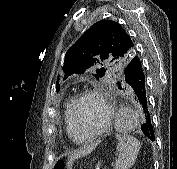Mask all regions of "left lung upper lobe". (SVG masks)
I'll list each match as a JSON object with an SVG mask.
<instances>
[{"label": "left lung upper lobe", "instance_id": "1", "mask_svg": "<svg viewBox=\"0 0 177 169\" xmlns=\"http://www.w3.org/2000/svg\"><path fill=\"white\" fill-rule=\"evenodd\" d=\"M135 56V43L125 29L117 22L101 20L92 25L66 53L64 79L74 73L83 74L100 63L102 66L93 74L99 79L107 72L101 62H109L124 69ZM117 85L121 89L119 82Z\"/></svg>", "mask_w": 177, "mask_h": 169}]
</instances>
